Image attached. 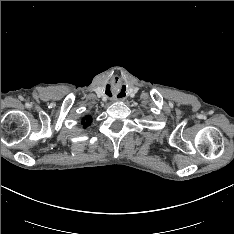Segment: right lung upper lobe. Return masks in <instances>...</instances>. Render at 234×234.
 Returning <instances> with one entry per match:
<instances>
[{
	"instance_id": "cb5924a9",
	"label": "right lung upper lobe",
	"mask_w": 234,
	"mask_h": 234,
	"mask_svg": "<svg viewBox=\"0 0 234 234\" xmlns=\"http://www.w3.org/2000/svg\"><path fill=\"white\" fill-rule=\"evenodd\" d=\"M84 120H86V122L83 121L84 127H87L88 125H90V122L92 121L91 117H89V116H87Z\"/></svg>"
}]
</instances>
